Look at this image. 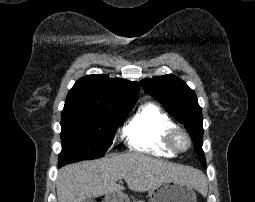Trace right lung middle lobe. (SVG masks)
I'll return each mask as SVG.
<instances>
[{"label": "right lung middle lobe", "mask_w": 255, "mask_h": 202, "mask_svg": "<svg viewBox=\"0 0 255 202\" xmlns=\"http://www.w3.org/2000/svg\"><path fill=\"white\" fill-rule=\"evenodd\" d=\"M133 106L102 112L62 116V151L59 166L104 156L116 129Z\"/></svg>", "instance_id": "obj_1"}]
</instances>
